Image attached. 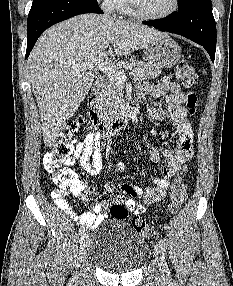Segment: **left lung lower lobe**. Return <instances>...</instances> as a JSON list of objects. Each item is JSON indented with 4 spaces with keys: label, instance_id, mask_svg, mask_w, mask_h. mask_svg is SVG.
Here are the masks:
<instances>
[{
    "label": "left lung lower lobe",
    "instance_id": "left-lung-lower-lobe-1",
    "mask_svg": "<svg viewBox=\"0 0 233 286\" xmlns=\"http://www.w3.org/2000/svg\"><path fill=\"white\" fill-rule=\"evenodd\" d=\"M162 31L180 34L200 45L209 53L212 62L216 50V24L211 0H189L178 13L163 19L143 21Z\"/></svg>",
    "mask_w": 233,
    "mask_h": 286
}]
</instances>
